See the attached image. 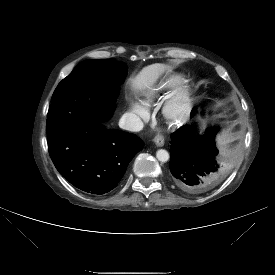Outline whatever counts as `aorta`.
I'll use <instances>...</instances> for the list:
<instances>
[{"label":"aorta","instance_id":"1","mask_svg":"<svg viewBox=\"0 0 275 275\" xmlns=\"http://www.w3.org/2000/svg\"><path fill=\"white\" fill-rule=\"evenodd\" d=\"M156 157L160 162L165 163L169 160L170 156L166 150L160 149L156 152Z\"/></svg>","mask_w":275,"mask_h":275}]
</instances>
